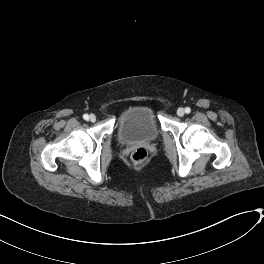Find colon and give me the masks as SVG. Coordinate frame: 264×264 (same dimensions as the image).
I'll list each match as a JSON object with an SVG mask.
<instances>
[{
  "mask_svg": "<svg viewBox=\"0 0 264 264\" xmlns=\"http://www.w3.org/2000/svg\"><path fill=\"white\" fill-rule=\"evenodd\" d=\"M147 155V150L143 147H139L134 151L132 158L136 164H142L146 160Z\"/></svg>",
  "mask_w": 264,
  "mask_h": 264,
  "instance_id": "1",
  "label": "colon"
}]
</instances>
